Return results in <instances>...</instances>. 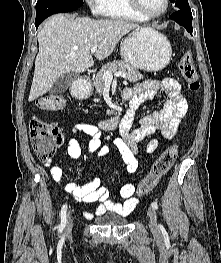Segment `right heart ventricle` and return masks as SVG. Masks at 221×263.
I'll use <instances>...</instances> for the list:
<instances>
[{"instance_id":"obj_1","label":"right heart ventricle","mask_w":221,"mask_h":263,"mask_svg":"<svg viewBox=\"0 0 221 263\" xmlns=\"http://www.w3.org/2000/svg\"><path fill=\"white\" fill-rule=\"evenodd\" d=\"M102 15L118 20L143 21L128 0H104Z\"/></svg>"}]
</instances>
